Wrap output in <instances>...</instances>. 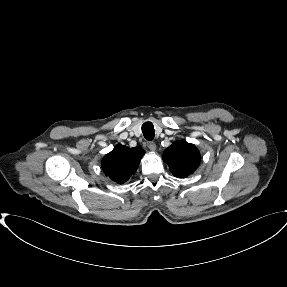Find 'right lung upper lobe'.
Instances as JSON below:
<instances>
[{
	"label": "right lung upper lobe",
	"instance_id": "1",
	"mask_svg": "<svg viewBox=\"0 0 287 287\" xmlns=\"http://www.w3.org/2000/svg\"><path fill=\"white\" fill-rule=\"evenodd\" d=\"M143 155L139 147L129 149L118 144L102 159V169L111 180L123 184L136 172Z\"/></svg>",
	"mask_w": 287,
	"mask_h": 287
}]
</instances>
